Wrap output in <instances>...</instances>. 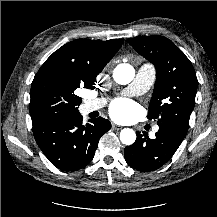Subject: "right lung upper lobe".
I'll list each match as a JSON object with an SVG mask.
<instances>
[{
  "instance_id": "cb5924a9",
  "label": "right lung upper lobe",
  "mask_w": 217,
  "mask_h": 217,
  "mask_svg": "<svg viewBox=\"0 0 217 217\" xmlns=\"http://www.w3.org/2000/svg\"><path fill=\"white\" fill-rule=\"evenodd\" d=\"M123 41L76 39L56 50L38 73L55 70L83 84L95 85L96 76L119 50Z\"/></svg>"
}]
</instances>
